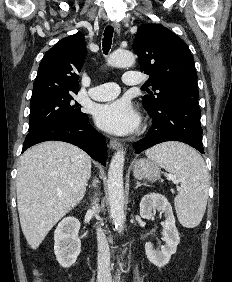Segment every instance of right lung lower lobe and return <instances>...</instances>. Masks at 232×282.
I'll return each mask as SVG.
<instances>
[{"label": "right lung lower lobe", "mask_w": 232, "mask_h": 282, "mask_svg": "<svg viewBox=\"0 0 232 282\" xmlns=\"http://www.w3.org/2000/svg\"><path fill=\"white\" fill-rule=\"evenodd\" d=\"M88 122V116L81 120L64 119L29 131L25 138L22 152L37 143L58 140L78 146L94 160L106 166V139L89 125Z\"/></svg>", "instance_id": "right-lung-lower-lobe-1"}]
</instances>
